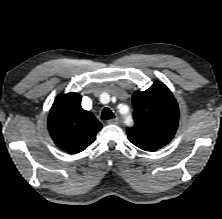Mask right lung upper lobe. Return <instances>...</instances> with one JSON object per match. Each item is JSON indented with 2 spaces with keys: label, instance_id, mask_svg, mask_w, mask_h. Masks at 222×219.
Here are the masks:
<instances>
[{
  "label": "right lung upper lobe",
  "instance_id": "right-lung-upper-lobe-1",
  "mask_svg": "<svg viewBox=\"0 0 222 219\" xmlns=\"http://www.w3.org/2000/svg\"><path fill=\"white\" fill-rule=\"evenodd\" d=\"M81 95L71 92L57 96L48 116V129L54 143L62 150L76 154L96 138L102 124L84 110Z\"/></svg>",
  "mask_w": 222,
  "mask_h": 219
}]
</instances>
